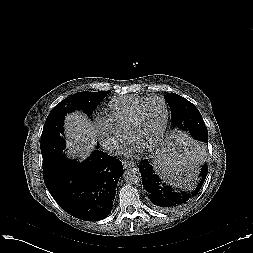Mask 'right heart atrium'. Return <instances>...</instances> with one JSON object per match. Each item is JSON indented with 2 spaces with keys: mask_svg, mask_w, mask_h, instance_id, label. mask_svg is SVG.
<instances>
[{
  "mask_svg": "<svg viewBox=\"0 0 253 253\" xmlns=\"http://www.w3.org/2000/svg\"><path fill=\"white\" fill-rule=\"evenodd\" d=\"M96 129L103 147L109 152H118L126 141L125 134L115 130L107 119H97Z\"/></svg>",
  "mask_w": 253,
  "mask_h": 253,
  "instance_id": "d8ad5b80",
  "label": "right heart atrium"
}]
</instances>
